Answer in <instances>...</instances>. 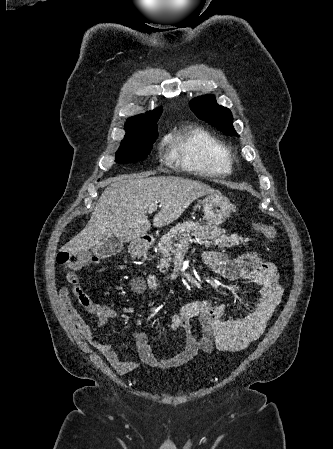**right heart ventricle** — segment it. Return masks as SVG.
<instances>
[{
    "label": "right heart ventricle",
    "mask_w": 333,
    "mask_h": 449,
    "mask_svg": "<svg viewBox=\"0 0 333 449\" xmlns=\"http://www.w3.org/2000/svg\"><path fill=\"white\" fill-rule=\"evenodd\" d=\"M166 142L170 158L186 170L209 176H222L231 171L230 150L203 128H179Z\"/></svg>",
    "instance_id": "1"
}]
</instances>
